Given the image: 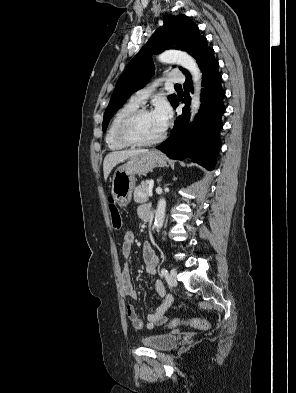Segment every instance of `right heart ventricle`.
I'll list each match as a JSON object with an SVG mask.
<instances>
[{"label":"right heart ventricle","mask_w":296,"mask_h":393,"mask_svg":"<svg viewBox=\"0 0 296 393\" xmlns=\"http://www.w3.org/2000/svg\"><path fill=\"white\" fill-rule=\"evenodd\" d=\"M138 107V104L129 101L121 106L113 115L105 136L106 144L111 150H121L128 147L119 140L117 132L122 120Z\"/></svg>","instance_id":"right-heart-ventricle-1"}]
</instances>
